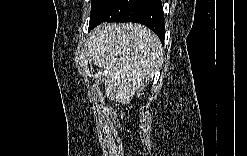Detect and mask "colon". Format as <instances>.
Instances as JSON below:
<instances>
[{"label": "colon", "mask_w": 247, "mask_h": 156, "mask_svg": "<svg viewBox=\"0 0 247 156\" xmlns=\"http://www.w3.org/2000/svg\"><path fill=\"white\" fill-rule=\"evenodd\" d=\"M123 118H126V115L125 114L123 115Z\"/></svg>", "instance_id": "obj_1"}]
</instances>
